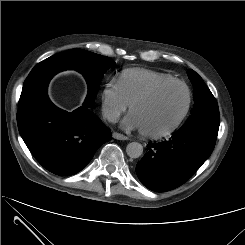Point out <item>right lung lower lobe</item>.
Instances as JSON below:
<instances>
[{
	"label": "right lung lower lobe",
	"mask_w": 245,
	"mask_h": 245,
	"mask_svg": "<svg viewBox=\"0 0 245 245\" xmlns=\"http://www.w3.org/2000/svg\"><path fill=\"white\" fill-rule=\"evenodd\" d=\"M18 129L28 149L48 171L73 175L81 171L111 131L89 108H57L48 96L17 113Z\"/></svg>",
	"instance_id": "obj_1"
}]
</instances>
